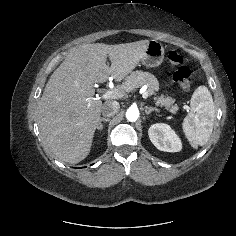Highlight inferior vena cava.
I'll use <instances>...</instances> for the list:
<instances>
[{
    "instance_id": "1",
    "label": "inferior vena cava",
    "mask_w": 236,
    "mask_h": 236,
    "mask_svg": "<svg viewBox=\"0 0 236 236\" xmlns=\"http://www.w3.org/2000/svg\"><path fill=\"white\" fill-rule=\"evenodd\" d=\"M120 105L117 101H106L101 108V112L105 117H111L118 113Z\"/></svg>"
}]
</instances>
